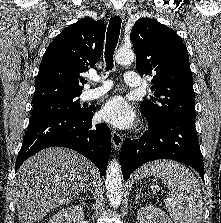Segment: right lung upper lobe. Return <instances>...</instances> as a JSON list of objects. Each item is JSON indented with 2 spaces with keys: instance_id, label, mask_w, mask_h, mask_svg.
<instances>
[{
  "instance_id": "1",
  "label": "right lung upper lobe",
  "mask_w": 221,
  "mask_h": 223,
  "mask_svg": "<svg viewBox=\"0 0 221 223\" xmlns=\"http://www.w3.org/2000/svg\"><path fill=\"white\" fill-rule=\"evenodd\" d=\"M104 37V22L89 17L66 27L42 58L33 104L80 95L85 83L80 73L99 60Z\"/></svg>"
}]
</instances>
